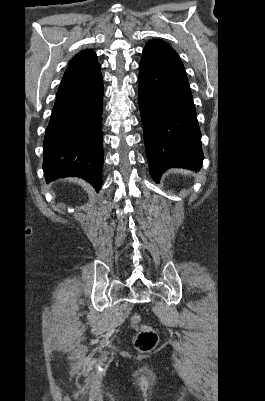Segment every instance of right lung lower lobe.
<instances>
[{
	"label": "right lung lower lobe",
	"mask_w": 265,
	"mask_h": 401,
	"mask_svg": "<svg viewBox=\"0 0 265 401\" xmlns=\"http://www.w3.org/2000/svg\"><path fill=\"white\" fill-rule=\"evenodd\" d=\"M103 84L57 96L43 142L46 182L81 177L96 191L102 185Z\"/></svg>",
	"instance_id": "right-lung-lower-lobe-1"
}]
</instances>
